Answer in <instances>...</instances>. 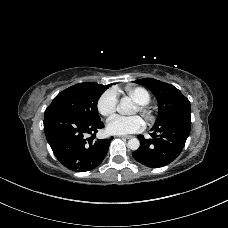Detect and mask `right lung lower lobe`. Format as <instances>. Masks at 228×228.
<instances>
[{"label": "right lung lower lobe", "mask_w": 228, "mask_h": 228, "mask_svg": "<svg viewBox=\"0 0 228 228\" xmlns=\"http://www.w3.org/2000/svg\"><path fill=\"white\" fill-rule=\"evenodd\" d=\"M103 127L100 119L87 121L60 109L45 111L47 141L58 161L73 171L86 172L103 161L111 141L95 139Z\"/></svg>", "instance_id": "obj_1"}]
</instances>
